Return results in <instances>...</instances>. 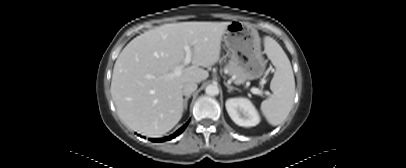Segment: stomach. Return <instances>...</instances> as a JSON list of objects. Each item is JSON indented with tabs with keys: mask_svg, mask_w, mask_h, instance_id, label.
<instances>
[{
	"mask_svg": "<svg viewBox=\"0 0 406 168\" xmlns=\"http://www.w3.org/2000/svg\"><path fill=\"white\" fill-rule=\"evenodd\" d=\"M223 39L230 50V64L238 66L247 79L260 78L266 62L261 51L258 31L248 23L232 21L227 26Z\"/></svg>",
	"mask_w": 406,
	"mask_h": 168,
	"instance_id": "obj_1",
	"label": "stomach"
}]
</instances>
